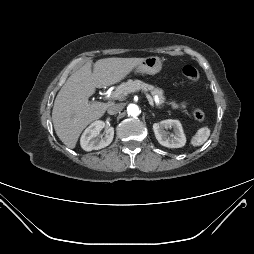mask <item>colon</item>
<instances>
[{"label": "colon", "mask_w": 254, "mask_h": 254, "mask_svg": "<svg viewBox=\"0 0 254 254\" xmlns=\"http://www.w3.org/2000/svg\"><path fill=\"white\" fill-rule=\"evenodd\" d=\"M182 76L185 80L191 83H196L199 80V73L197 69L191 65H186L182 68ZM193 115L197 121H203L205 118V113L200 108L194 109Z\"/></svg>", "instance_id": "1"}]
</instances>
